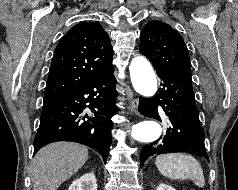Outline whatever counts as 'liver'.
I'll list each match as a JSON object with an SVG mask.
<instances>
[{"instance_id":"1","label":"liver","mask_w":238,"mask_h":190,"mask_svg":"<svg viewBox=\"0 0 238 190\" xmlns=\"http://www.w3.org/2000/svg\"><path fill=\"white\" fill-rule=\"evenodd\" d=\"M87 147L73 142H55L41 148L31 167L33 190H57L87 161Z\"/></svg>"}]
</instances>
